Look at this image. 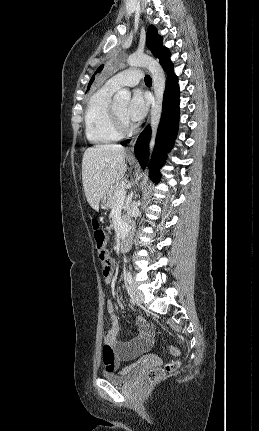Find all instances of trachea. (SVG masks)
<instances>
[{
	"label": "trachea",
	"instance_id": "3493384b",
	"mask_svg": "<svg viewBox=\"0 0 259 431\" xmlns=\"http://www.w3.org/2000/svg\"><path fill=\"white\" fill-rule=\"evenodd\" d=\"M145 83L146 84H152V79H151V77L149 75L145 76Z\"/></svg>",
	"mask_w": 259,
	"mask_h": 431
}]
</instances>
